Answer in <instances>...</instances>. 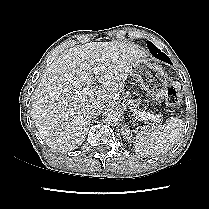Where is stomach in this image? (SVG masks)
<instances>
[{
    "label": "stomach",
    "mask_w": 209,
    "mask_h": 209,
    "mask_svg": "<svg viewBox=\"0 0 209 209\" xmlns=\"http://www.w3.org/2000/svg\"><path fill=\"white\" fill-rule=\"evenodd\" d=\"M130 74L138 79L153 103H160L167 94L169 78L160 66L139 58L131 64Z\"/></svg>",
    "instance_id": "1"
}]
</instances>
